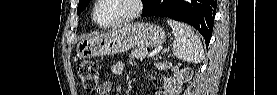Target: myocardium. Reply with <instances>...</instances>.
<instances>
[{"label": "myocardium", "instance_id": "f54148a6", "mask_svg": "<svg viewBox=\"0 0 277 95\" xmlns=\"http://www.w3.org/2000/svg\"><path fill=\"white\" fill-rule=\"evenodd\" d=\"M127 1L131 4V7H132L131 12L128 15L109 22H102L97 15V9L99 5L103 2V0H97L95 5L92 8L93 20L97 23L98 26L103 28H111V27L119 26L132 21L133 19L138 17L142 12L143 1L142 0H127Z\"/></svg>", "mask_w": 277, "mask_h": 95}]
</instances>
